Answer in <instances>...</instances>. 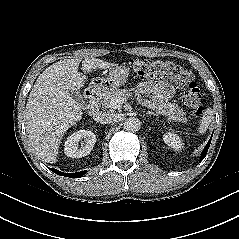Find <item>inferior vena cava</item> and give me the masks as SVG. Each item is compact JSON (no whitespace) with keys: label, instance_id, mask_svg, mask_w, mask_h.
Here are the masks:
<instances>
[{"label":"inferior vena cava","instance_id":"obj_1","mask_svg":"<svg viewBox=\"0 0 239 239\" xmlns=\"http://www.w3.org/2000/svg\"><path fill=\"white\" fill-rule=\"evenodd\" d=\"M94 120L102 124H111L116 120V115L113 112L99 113L95 116Z\"/></svg>","mask_w":239,"mask_h":239}]
</instances>
